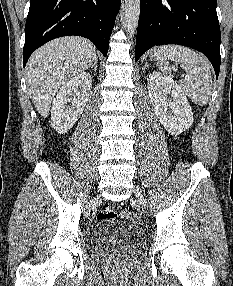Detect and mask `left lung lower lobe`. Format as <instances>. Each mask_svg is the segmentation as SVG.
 I'll list each match as a JSON object with an SVG mask.
<instances>
[{
    "mask_svg": "<svg viewBox=\"0 0 233 286\" xmlns=\"http://www.w3.org/2000/svg\"><path fill=\"white\" fill-rule=\"evenodd\" d=\"M220 41L216 0H140L135 61L155 45H185L204 53L218 78Z\"/></svg>",
    "mask_w": 233,
    "mask_h": 286,
    "instance_id": "0a47b994",
    "label": "left lung lower lobe"
}]
</instances>
